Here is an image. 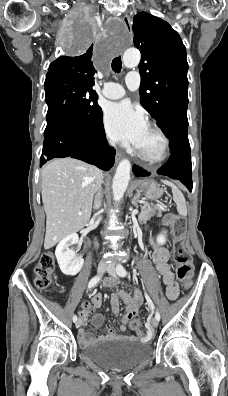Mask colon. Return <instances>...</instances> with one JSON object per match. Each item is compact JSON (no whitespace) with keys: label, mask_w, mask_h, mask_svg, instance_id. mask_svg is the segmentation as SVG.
I'll return each instance as SVG.
<instances>
[{"label":"colon","mask_w":228,"mask_h":396,"mask_svg":"<svg viewBox=\"0 0 228 396\" xmlns=\"http://www.w3.org/2000/svg\"><path fill=\"white\" fill-rule=\"evenodd\" d=\"M174 233L173 258L177 265V277L180 282L188 285L191 283L194 266L193 259L186 240V221L183 217L169 214L165 220ZM55 267L54 255L51 252L41 254L34 269V283L38 289H47L52 282ZM130 326L133 330H142V324L137 319H132Z\"/></svg>","instance_id":"5ec220e1"}]
</instances>
